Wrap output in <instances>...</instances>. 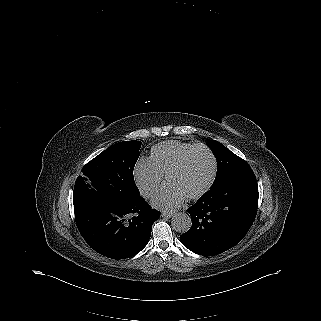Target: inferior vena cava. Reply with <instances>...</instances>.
Here are the masks:
<instances>
[{"label":"inferior vena cava","mask_w":321,"mask_h":321,"mask_svg":"<svg viewBox=\"0 0 321 321\" xmlns=\"http://www.w3.org/2000/svg\"><path fill=\"white\" fill-rule=\"evenodd\" d=\"M152 191L150 189H146L142 191V195L145 198H148L151 195Z\"/></svg>","instance_id":"obj_1"}]
</instances>
